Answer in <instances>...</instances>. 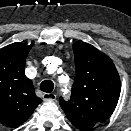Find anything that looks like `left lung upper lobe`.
Wrapping results in <instances>:
<instances>
[{
	"label": "left lung upper lobe",
	"mask_w": 131,
	"mask_h": 131,
	"mask_svg": "<svg viewBox=\"0 0 131 131\" xmlns=\"http://www.w3.org/2000/svg\"><path fill=\"white\" fill-rule=\"evenodd\" d=\"M75 81L71 98L59 99L71 123L81 131L106 121L120 95V77L112 60L94 46L81 40L73 44Z\"/></svg>",
	"instance_id": "5c2ea615"
}]
</instances>
